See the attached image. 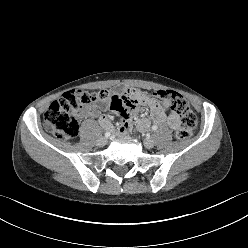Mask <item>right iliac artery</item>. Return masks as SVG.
Listing matches in <instances>:
<instances>
[{
    "label": "right iliac artery",
    "mask_w": 248,
    "mask_h": 248,
    "mask_svg": "<svg viewBox=\"0 0 248 248\" xmlns=\"http://www.w3.org/2000/svg\"><path fill=\"white\" fill-rule=\"evenodd\" d=\"M110 136V132L105 133V137L108 138Z\"/></svg>",
    "instance_id": "obj_1"
}]
</instances>
